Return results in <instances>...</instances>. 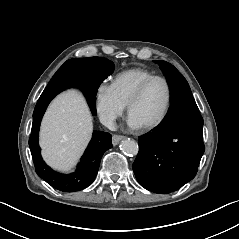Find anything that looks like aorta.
<instances>
[{"instance_id": "aorta-1", "label": "aorta", "mask_w": 239, "mask_h": 239, "mask_svg": "<svg viewBox=\"0 0 239 239\" xmlns=\"http://www.w3.org/2000/svg\"><path fill=\"white\" fill-rule=\"evenodd\" d=\"M120 148L123 153L127 155H137L139 152V147L137 142H134L132 140H123Z\"/></svg>"}]
</instances>
